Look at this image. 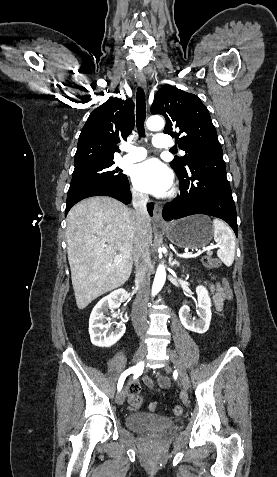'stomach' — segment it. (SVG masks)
Wrapping results in <instances>:
<instances>
[{
    "label": "stomach",
    "mask_w": 277,
    "mask_h": 477,
    "mask_svg": "<svg viewBox=\"0 0 277 477\" xmlns=\"http://www.w3.org/2000/svg\"><path fill=\"white\" fill-rule=\"evenodd\" d=\"M168 239L180 248L199 249L213 238L214 229L208 216L192 215L162 227Z\"/></svg>",
    "instance_id": "1"
}]
</instances>
